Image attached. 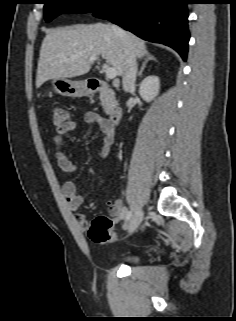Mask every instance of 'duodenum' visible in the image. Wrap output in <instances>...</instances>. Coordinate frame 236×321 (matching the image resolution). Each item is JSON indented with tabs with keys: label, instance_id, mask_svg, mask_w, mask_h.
<instances>
[{
	"label": "duodenum",
	"instance_id": "410a0bca",
	"mask_svg": "<svg viewBox=\"0 0 236 321\" xmlns=\"http://www.w3.org/2000/svg\"><path fill=\"white\" fill-rule=\"evenodd\" d=\"M88 88L90 92H99V93H103L105 96H107L108 98H112L113 97V92L110 89V87L108 86V84L98 78H93L90 79L88 82ZM108 115H109V120L113 123V124H117L121 117H122V110L117 107V106H112L109 111H108Z\"/></svg>",
	"mask_w": 236,
	"mask_h": 321
}]
</instances>
